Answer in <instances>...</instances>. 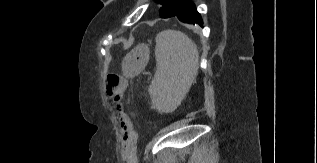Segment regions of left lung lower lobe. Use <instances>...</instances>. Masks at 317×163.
<instances>
[{
  "instance_id": "0a47b994",
  "label": "left lung lower lobe",
  "mask_w": 317,
  "mask_h": 163,
  "mask_svg": "<svg viewBox=\"0 0 317 163\" xmlns=\"http://www.w3.org/2000/svg\"><path fill=\"white\" fill-rule=\"evenodd\" d=\"M173 16H176L180 21L184 23H189V24L197 23L200 26H202L203 24L201 16L197 12L193 2L189 0H185L184 3L178 9V11L169 17H173Z\"/></svg>"
}]
</instances>
